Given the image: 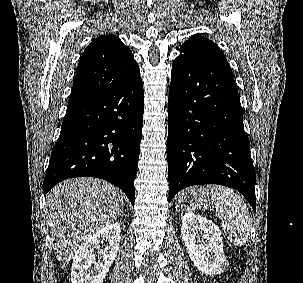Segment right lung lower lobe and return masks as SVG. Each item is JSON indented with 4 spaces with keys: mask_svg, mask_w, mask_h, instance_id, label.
<instances>
[{
    "mask_svg": "<svg viewBox=\"0 0 303 283\" xmlns=\"http://www.w3.org/2000/svg\"><path fill=\"white\" fill-rule=\"evenodd\" d=\"M141 77L69 103L43 182L45 194L72 177H97L123 190L134 206L143 126Z\"/></svg>",
    "mask_w": 303,
    "mask_h": 283,
    "instance_id": "98d812e1",
    "label": "right lung lower lobe"
}]
</instances>
